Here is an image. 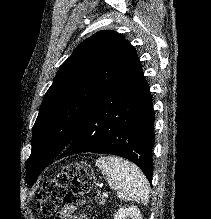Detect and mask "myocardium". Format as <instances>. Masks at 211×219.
I'll return each instance as SVG.
<instances>
[{
	"label": "myocardium",
	"mask_w": 211,
	"mask_h": 219,
	"mask_svg": "<svg viewBox=\"0 0 211 219\" xmlns=\"http://www.w3.org/2000/svg\"><path fill=\"white\" fill-rule=\"evenodd\" d=\"M65 146H66V143L64 141H54L50 144L49 150L50 152L55 153V152L63 150Z\"/></svg>",
	"instance_id": "obj_1"
}]
</instances>
